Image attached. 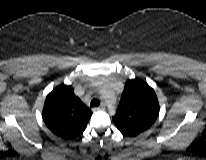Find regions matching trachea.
Wrapping results in <instances>:
<instances>
[{
    "label": "trachea",
    "mask_w": 206,
    "mask_h": 160,
    "mask_svg": "<svg viewBox=\"0 0 206 160\" xmlns=\"http://www.w3.org/2000/svg\"><path fill=\"white\" fill-rule=\"evenodd\" d=\"M100 104V101L98 99H93L90 103L91 107H98Z\"/></svg>",
    "instance_id": "obj_1"
}]
</instances>
